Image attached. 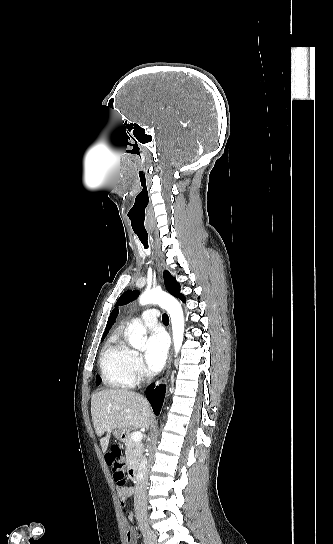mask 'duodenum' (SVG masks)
Masks as SVG:
<instances>
[{
	"label": "duodenum",
	"instance_id": "obj_1",
	"mask_svg": "<svg viewBox=\"0 0 333 544\" xmlns=\"http://www.w3.org/2000/svg\"><path fill=\"white\" fill-rule=\"evenodd\" d=\"M128 476L134 482H138L140 480V477H141L139 469L136 466H131L128 469Z\"/></svg>",
	"mask_w": 333,
	"mask_h": 544
}]
</instances>
